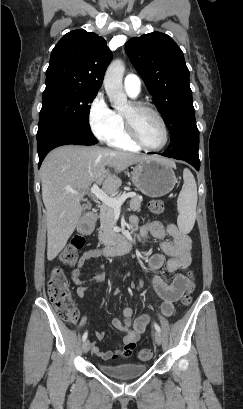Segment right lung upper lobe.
Segmentation results:
<instances>
[{
  "mask_svg": "<svg viewBox=\"0 0 243 409\" xmlns=\"http://www.w3.org/2000/svg\"><path fill=\"white\" fill-rule=\"evenodd\" d=\"M112 59L106 41L97 34L74 30L52 50L46 81H62L98 91Z\"/></svg>",
  "mask_w": 243,
  "mask_h": 409,
  "instance_id": "1",
  "label": "right lung upper lobe"
}]
</instances>
